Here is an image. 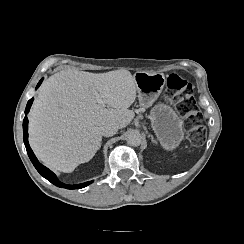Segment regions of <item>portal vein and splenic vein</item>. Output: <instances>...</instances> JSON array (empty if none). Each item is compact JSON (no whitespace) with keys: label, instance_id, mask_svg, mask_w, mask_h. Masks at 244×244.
<instances>
[{"label":"portal vein and splenic vein","instance_id":"1","mask_svg":"<svg viewBox=\"0 0 244 244\" xmlns=\"http://www.w3.org/2000/svg\"><path fill=\"white\" fill-rule=\"evenodd\" d=\"M94 95H95L96 102H97L98 104L104 106L105 104H104V101H103V99L101 98L100 94L97 93V92H95Z\"/></svg>","mask_w":244,"mask_h":244}]
</instances>
